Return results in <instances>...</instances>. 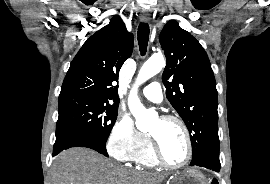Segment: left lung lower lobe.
<instances>
[{
    "instance_id": "1",
    "label": "left lung lower lobe",
    "mask_w": 270,
    "mask_h": 184,
    "mask_svg": "<svg viewBox=\"0 0 270 184\" xmlns=\"http://www.w3.org/2000/svg\"><path fill=\"white\" fill-rule=\"evenodd\" d=\"M200 166L211 169L213 171H220L219 152H206L197 161L191 162V166Z\"/></svg>"
}]
</instances>
